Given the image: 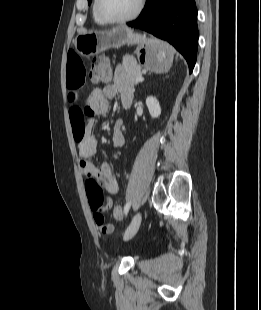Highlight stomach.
Here are the masks:
<instances>
[{
	"label": "stomach",
	"instance_id": "1",
	"mask_svg": "<svg viewBox=\"0 0 261 310\" xmlns=\"http://www.w3.org/2000/svg\"><path fill=\"white\" fill-rule=\"evenodd\" d=\"M75 48L85 56H94L110 48L136 45L140 66L154 73H166L172 66L174 51L168 44L120 26L110 31H89L75 39Z\"/></svg>",
	"mask_w": 261,
	"mask_h": 310
}]
</instances>
